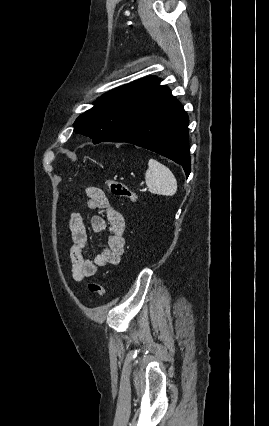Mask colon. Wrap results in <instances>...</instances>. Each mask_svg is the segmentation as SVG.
<instances>
[{"instance_id": "colon-1", "label": "colon", "mask_w": 269, "mask_h": 426, "mask_svg": "<svg viewBox=\"0 0 269 426\" xmlns=\"http://www.w3.org/2000/svg\"><path fill=\"white\" fill-rule=\"evenodd\" d=\"M105 186L115 197L125 198L131 202H136L137 200L136 193L123 182L107 178L105 180ZM88 290L91 294L96 295L98 297H103L105 294V289L103 285L95 281L89 282Z\"/></svg>"}]
</instances>
